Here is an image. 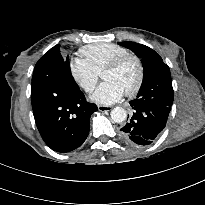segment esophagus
<instances>
[{"label":"esophagus","instance_id":"1","mask_svg":"<svg viewBox=\"0 0 205 205\" xmlns=\"http://www.w3.org/2000/svg\"><path fill=\"white\" fill-rule=\"evenodd\" d=\"M112 108L110 106H105V105H98V110L101 112H108L110 111Z\"/></svg>","mask_w":205,"mask_h":205}]
</instances>
